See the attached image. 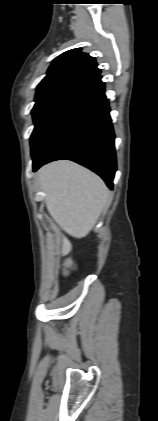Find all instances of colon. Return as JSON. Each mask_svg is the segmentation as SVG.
Here are the masks:
<instances>
[{
  "instance_id": "1",
  "label": "colon",
  "mask_w": 158,
  "mask_h": 421,
  "mask_svg": "<svg viewBox=\"0 0 158 421\" xmlns=\"http://www.w3.org/2000/svg\"><path fill=\"white\" fill-rule=\"evenodd\" d=\"M73 262L71 260H68L66 262V270L65 273L68 274L70 272V270L73 268Z\"/></svg>"
}]
</instances>
